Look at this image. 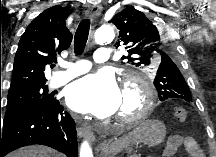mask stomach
Instances as JSON below:
<instances>
[{
  "label": "stomach",
  "instance_id": "1",
  "mask_svg": "<svg viewBox=\"0 0 216 157\" xmlns=\"http://www.w3.org/2000/svg\"><path fill=\"white\" fill-rule=\"evenodd\" d=\"M165 135L166 128L162 122L158 120H146L141 122L133 131H131L128 137L110 143L108 150L105 153L114 148H122L131 140L143 142L149 147H155L163 142Z\"/></svg>",
  "mask_w": 216,
  "mask_h": 157
}]
</instances>
